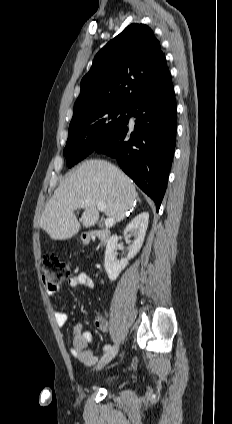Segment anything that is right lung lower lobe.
I'll return each mask as SVG.
<instances>
[{"label":"right lung lower lobe","instance_id":"right-lung-lower-lobe-1","mask_svg":"<svg viewBox=\"0 0 232 424\" xmlns=\"http://www.w3.org/2000/svg\"><path fill=\"white\" fill-rule=\"evenodd\" d=\"M176 101L168 72L148 94L131 106L128 123L94 152L117 159L122 170L149 196L157 211L163 199L176 142Z\"/></svg>","mask_w":232,"mask_h":424}]
</instances>
